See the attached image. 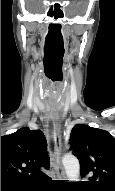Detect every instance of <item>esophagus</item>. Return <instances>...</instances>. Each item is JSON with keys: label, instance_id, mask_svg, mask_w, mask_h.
Wrapping results in <instances>:
<instances>
[{"label": "esophagus", "instance_id": "obj_1", "mask_svg": "<svg viewBox=\"0 0 115 191\" xmlns=\"http://www.w3.org/2000/svg\"><path fill=\"white\" fill-rule=\"evenodd\" d=\"M52 120L51 137L54 142V152L52 156V165L54 167L56 176L60 180H65L66 175L61 162V136L58 123L55 121V115L49 114Z\"/></svg>", "mask_w": 115, "mask_h": 191}]
</instances>
